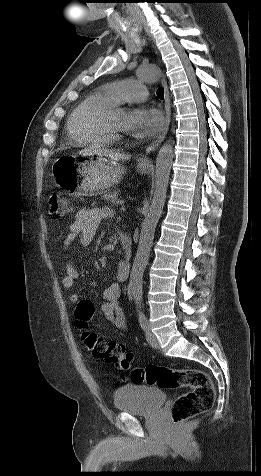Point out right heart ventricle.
I'll use <instances>...</instances> for the list:
<instances>
[{
  "label": "right heart ventricle",
  "instance_id": "right-heart-ventricle-1",
  "mask_svg": "<svg viewBox=\"0 0 261 476\" xmlns=\"http://www.w3.org/2000/svg\"><path fill=\"white\" fill-rule=\"evenodd\" d=\"M117 104L104 89L85 97L67 119L66 129L71 142L79 146L108 144L112 136L103 130L101 120Z\"/></svg>",
  "mask_w": 261,
  "mask_h": 476
}]
</instances>
